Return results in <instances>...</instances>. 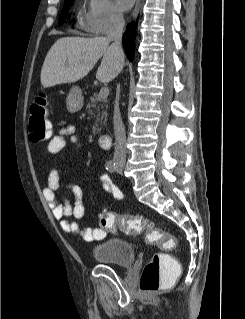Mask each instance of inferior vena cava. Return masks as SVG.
<instances>
[{"label": "inferior vena cava", "instance_id": "inferior-vena-cava-1", "mask_svg": "<svg viewBox=\"0 0 245 319\" xmlns=\"http://www.w3.org/2000/svg\"><path fill=\"white\" fill-rule=\"evenodd\" d=\"M123 28V15L121 13L114 12L110 18V27L107 34V39L112 42L110 48L119 60L124 58V53L122 50ZM113 125L115 134L114 160L116 162H125L126 133L119 109V85L117 86L116 101L114 105Z\"/></svg>", "mask_w": 245, "mask_h": 319}]
</instances>
